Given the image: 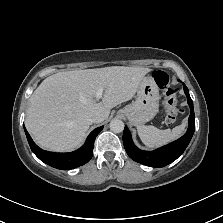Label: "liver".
<instances>
[{
    "mask_svg": "<svg viewBox=\"0 0 223 223\" xmlns=\"http://www.w3.org/2000/svg\"><path fill=\"white\" fill-rule=\"evenodd\" d=\"M149 68L112 66L53 74L30 97L25 125L42 148L67 152L79 147L98 111L107 119L110 110L130 100ZM103 88L102 102L96 91Z\"/></svg>",
    "mask_w": 223,
    "mask_h": 223,
    "instance_id": "6515ba94",
    "label": "liver"
}]
</instances>
